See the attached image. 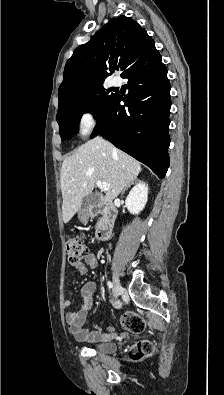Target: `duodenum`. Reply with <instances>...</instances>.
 Returning <instances> with one entry per match:
<instances>
[{"label": "duodenum", "instance_id": "duodenum-1", "mask_svg": "<svg viewBox=\"0 0 224 395\" xmlns=\"http://www.w3.org/2000/svg\"><path fill=\"white\" fill-rule=\"evenodd\" d=\"M102 214V219L95 232L96 241L107 240L112 233V224L116 215V207L114 205H95L90 210V216L94 217Z\"/></svg>", "mask_w": 224, "mask_h": 395}]
</instances>
